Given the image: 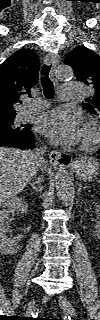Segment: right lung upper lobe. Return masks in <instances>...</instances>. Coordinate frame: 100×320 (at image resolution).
<instances>
[{"label": "right lung upper lobe", "mask_w": 100, "mask_h": 320, "mask_svg": "<svg viewBox=\"0 0 100 320\" xmlns=\"http://www.w3.org/2000/svg\"><path fill=\"white\" fill-rule=\"evenodd\" d=\"M39 76V60L34 51L20 49L0 66V119L15 117L14 104L30 95Z\"/></svg>", "instance_id": "obj_1"}]
</instances>
